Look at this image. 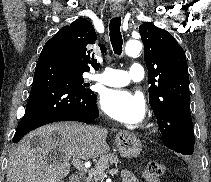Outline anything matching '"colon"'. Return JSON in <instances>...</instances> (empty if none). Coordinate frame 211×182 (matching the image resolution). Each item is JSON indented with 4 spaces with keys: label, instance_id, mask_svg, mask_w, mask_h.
I'll return each mask as SVG.
<instances>
[{
    "label": "colon",
    "instance_id": "5ec220e1",
    "mask_svg": "<svg viewBox=\"0 0 211 182\" xmlns=\"http://www.w3.org/2000/svg\"><path fill=\"white\" fill-rule=\"evenodd\" d=\"M165 171L166 168L162 162L154 161L149 163L143 177L146 182H160V178L164 175Z\"/></svg>",
    "mask_w": 211,
    "mask_h": 182
}]
</instances>
